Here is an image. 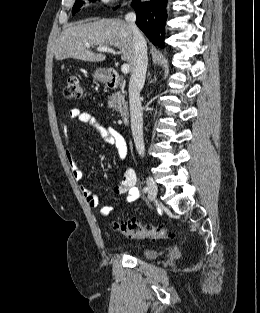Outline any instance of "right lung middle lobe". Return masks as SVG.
<instances>
[{"label":"right lung middle lobe","mask_w":260,"mask_h":313,"mask_svg":"<svg viewBox=\"0 0 260 313\" xmlns=\"http://www.w3.org/2000/svg\"><path fill=\"white\" fill-rule=\"evenodd\" d=\"M94 1V0H91ZM82 6V2L80 0H76L72 13L74 14L75 12H77V10H79V8Z\"/></svg>","instance_id":"1"}]
</instances>
